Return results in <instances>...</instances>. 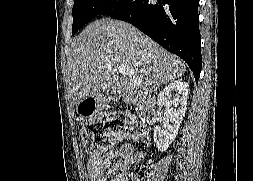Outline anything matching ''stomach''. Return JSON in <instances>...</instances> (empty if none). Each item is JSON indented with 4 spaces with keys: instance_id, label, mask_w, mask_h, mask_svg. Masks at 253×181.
I'll return each instance as SVG.
<instances>
[{
    "instance_id": "0dacf381",
    "label": "stomach",
    "mask_w": 253,
    "mask_h": 181,
    "mask_svg": "<svg viewBox=\"0 0 253 181\" xmlns=\"http://www.w3.org/2000/svg\"><path fill=\"white\" fill-rule=\"evenodd\" d=\"M105 103V99L99 92L87 97L76 105L77 113L82 117H93L96 115Z\"/></svg>"
}]
</instances>
